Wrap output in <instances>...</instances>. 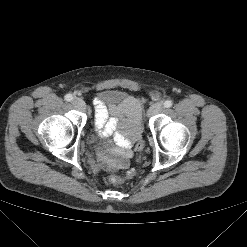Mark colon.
Segmentation results:
<instances>
[{
	"instance_id": "colon-1",
	"label": "colon",
	"mask_w": 247,
	"mask_h": 247,
	"mask_svg": "<svg viewBox=\"0 0 247 247\" xmlns=\"http://www.w3.org/2000/svg\"><path fill=\"white\" fill-rule=\"evenodd\" d=\"M134 176V171H129L125 176H111L110 182L115 185L122 184L125 180L131 179Z\"/></svg>"
}]
</instances>
